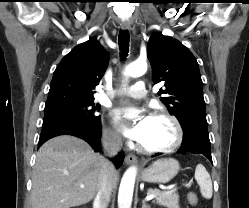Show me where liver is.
Masks as SVG:
<instances>
[{
    "mask_svg": "<svg viewBox=\"0 0 249 208\" xmlns=\"http://www.w3.org/2000/svg\"><path fill=\"white\" fill-rule=\"evenodd\" d=\"M104 162L80 138L61 135L48 140L36 155L32 208H70L90 202L98 192ZM117 180L115 171L112 188L117 186Z\"/></svg>",
    "mask_w": 249,
    "mask_h": 208,
    "instance_id": "liver-1",
    "label": "liver"
}]
</instances>
